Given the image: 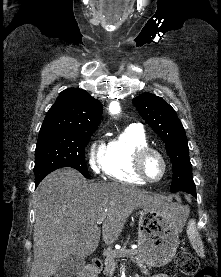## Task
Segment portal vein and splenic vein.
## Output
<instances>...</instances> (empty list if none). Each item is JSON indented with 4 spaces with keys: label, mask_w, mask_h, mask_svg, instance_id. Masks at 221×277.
Wrapping results in <instances>:
<instances>
[{
    "label": "portal vein and splenic vein",
    "mask_w": 221,
    "mask_h": 277,
    "mask_svg": "<svg viewBox=\"0 0 221 277\" xmlns=\"http://www.w3.org/2000/svg\"><path fill=\"white\" fill-rule=\"evenodd\" d=\"M105 217H100L98 220H97V224H101L103 221H104Z\"/></svg>",
    "instance_id": "18ae733b"
}]
</instances>
